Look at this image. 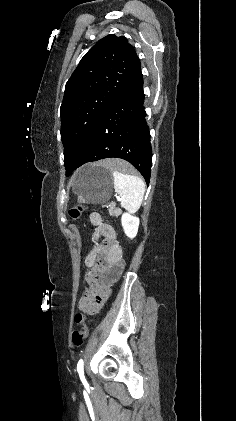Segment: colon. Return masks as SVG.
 Returning <instances> with one entry per match:
<instances>
[{
    "label": "colon",
    "mask_w": 236,
    "mask_h": 421,
    "mask_svg": "<svg viewBox=\"0 0 236 421\" xmlns=\"http://www.w3.org/2000/svg\"><path fill=\"white\" fill-rule=\"evenodd\" d=\"M85 209H86V206L84 205H76L70 210V216L73 219L77 220L82 216ZM75 322L79 326V328L74 330L72 333V343L74 346L78 347V346H81L84 340L87 338L88 329L85 323L84 314L77 313L75 316Z\"/></svg>",
    "instance_id": "obj_1"
}]
</instances>
